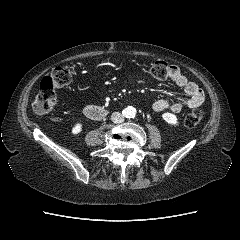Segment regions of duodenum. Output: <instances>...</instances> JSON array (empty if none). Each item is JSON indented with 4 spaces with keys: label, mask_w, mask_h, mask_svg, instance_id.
Masks as SVG:
<instances>
[{
    "label": "duodenum",
    "mask_w": 240,
    "mask_h": 240,
    "mask_svg": "<svg viewBox=\"0 0 240 240\" xmlns=\"http://www.w3.org/2000/svg\"><path fill=\"white\" fill-rule=\"evenodd\" d=\"M84 114L90 119L98 120L103 118L107 114V111L102 107L88 105L84 108Z\"/></svg>",
    "instance_id": "1"
}]
</instances>
